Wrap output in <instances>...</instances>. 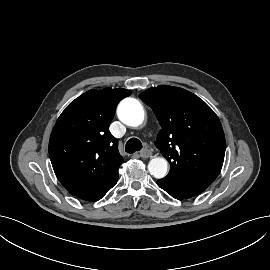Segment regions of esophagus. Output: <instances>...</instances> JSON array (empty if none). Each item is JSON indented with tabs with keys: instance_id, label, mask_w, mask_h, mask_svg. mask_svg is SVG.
Listing matches in <instances>:
<instances>
[{
	"instance_id": "34e87169",
	"label": "esophagus",
	"mask_w": 270,
	"mask_h": 270,
	"mask_svg": "<svg viewBox=\"0 0 270 270\" xmlns=\"http://www.w3.org/2000/svg\"><path fill=\"white\" fill-rule=\"evenodd\" d=\"M152 156V152L149 149H143L140 151V157L142 158H149Z\"/></svg>"
}]
</instances>
